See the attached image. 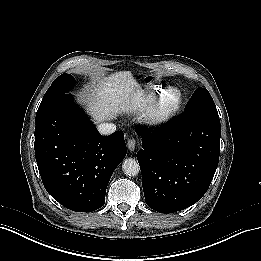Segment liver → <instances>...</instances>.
<instances>
[{
	"instance_id": "1",
	"label": "liver",
	"mask_w": 261,
	"mask_h": 261,
	"mask_svg": "<svg viewBox=\"0 0 261 261\" xmlns=\"http://www.w3.org/2000/svg\"><path fill=\"white\" fill-rule=\"evenodd\" d=\"M113 80V77L98 79L97 85L84 96L87 113L96 124L113 118L118 110L119 100L112 88Z\"/></svg>"
}]
</instances>
